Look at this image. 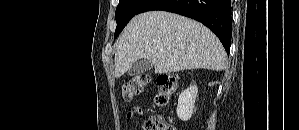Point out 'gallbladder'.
Instances as JSON below:
<instances>
[{"instance_id": "gallbladder-1", "label": "gallbladder", "mask_w": 299, "mask_h": 130, "mask_svg": "<svg viewBox=\"0 0 299 130\" xmlns=\"http://www.w3.org/2000/svg\"><path fill=\"white\" fill-rule=\"evenodd\" d=\"M152 64L150 63V61L146 60V59H140L135 61L130 68L128 69V74L130 76H136V75H140L143 73L148 72L149 70L152 69Z\"/></svg>"}]
</instances>
